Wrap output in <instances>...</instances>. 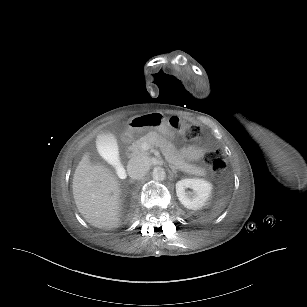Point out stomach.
<instances>
[{"mask_svg":"<svg viewBox=\"0 0 307 307\" xmlns=\"http://www.w3.org/2000/svg\"><path fill=\"white\" fill-rule=\"evenodd\" d=\"M130 127L134 131L155 130L167 138L174 139L175 131L168 119L160 113H149L131 119Z\"/></svg>","mask_w":307,"mask_h":307,"instance_id":"stomach-1","label":"stomach"}]
</instances>
